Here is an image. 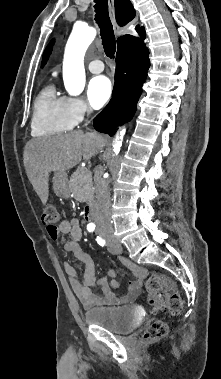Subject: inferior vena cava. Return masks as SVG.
<instances>
[{"label":"inferior vena cava","instance_id":"obj_1","mask_svg":"<svg viewBox=\"0 0 221 379\" xmlns=\"http://www.w3.org/2000/svg\"><path fill=\"white\" fill-rule=\"evenodd\" d=\"M91 113V109H87V114ZM102 169L94 176L95 193L97 199V210L95 223L99 230H112L111 224V201L108 183L102 178Z\"/></svg>","mask_w":221,"mask_h":379}]
</instances>
